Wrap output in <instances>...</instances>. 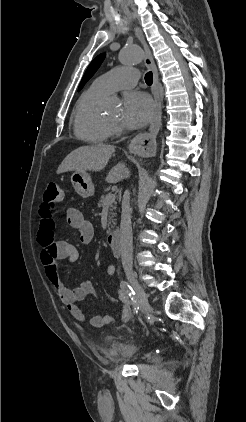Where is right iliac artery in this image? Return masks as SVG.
Returning a JSON list of instances; mask_svg holds the SVG:
<instances>
[{"label":"right iliac artery","mask_w":246,"mask_h":422,"mask_svg":"<svg viewBox=\"0 0 246 422\" xmlns=\"http://www.w3.org/2000/svg\"><path fill=\"white\" fill-rule=\"evenodd\" d=\"M120 287L130 297L132 304H133L134 314L137 313L139 306H138V298H137L135 291L132 289V287L126 281H121Z\"/></svg>","instance_id":"1"}]
</instances>
